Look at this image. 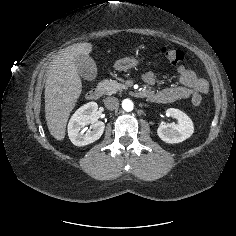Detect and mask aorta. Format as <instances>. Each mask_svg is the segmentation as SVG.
Segmentation results:
<instances>
[{
	"label": "aorta",
	"mask_w": 236,
	"mask_h": 236,
	"mask_svg": "<svg viewBox=\"0 0 236 236\" xmlns=\"http://www.w3.org/2000/svg\"><path fill=\"white\" fill-rule=\"evenodd\" d=\"M122 108L125 110V111H132L133 108H134V104L133 102L130 100V99H124L122 101Z\"/></svg>",
	"instance_id": "762f6f07"
}]
</instances>
